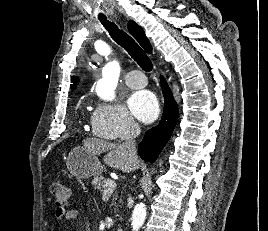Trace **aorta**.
<instances>
[{"instance_id": "aorta-1", "label": "aorta", "mask_w": 268, "mask_h": 231, "mask_svg": "<svg viewBox=\"0 0 268 231\" xmlns=\"http://www.w3.org/2000/svg\"><path fill=\"white\" fill-rule=\"evenodd\" d=\"M120 76V65L117 61L108 63L102 71V78L97 82V95L107 101H113L115 98V88L117 87ZM146 218V206L144 203H138L133 210L131 225L133 231H138Z\"/></svg>"}]
</instances>
